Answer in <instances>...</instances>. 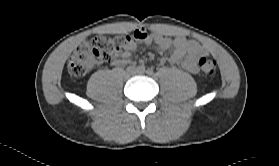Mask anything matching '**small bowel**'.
I'll return each instance as SVG.
<instances>
[{
  "instance_id": "c3829d8e",
  "label": "small bowel",
  "mask_w": 279,
  "mask_h": 166,
  "mask_svg": "<svg viewBox=\"0 0 279 166\" xmlns=\"http://www.w3.org/2000/svg\"><path fill=\"white\" fill-rule=\"evenodd\" d=\"M135 33H139L141 37L129 43L121 57L112 60L113 65L130 63L131 55L137 50L140 43H155L159 51L170 52L167 57L168 62H180L185 70L191 73L198 72L197 61L202 55L206 54V49L195 40H189L183 36L171 39L156 33H148L144 29H138Z\"/></svg>"
}]
</instances>
